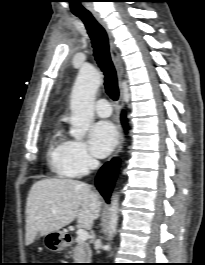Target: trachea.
<instances>
[{
	"instance_id": "3493384b",
	"label": "trachea",
	"mask_w": 205,
	"mask_h": 265,
	"mask_svg": "<svg viewBox=\"0 0 205 265\" xmlns=\"http://www.w3.org/2000/svg\"><path fill=\"white\" fill-rule=\"evenodd\" d=\"M85 24L91 38L94 56L98 66L105 75V90L111 99L116 101L119 96L117 76L109 52L108 36L105 29L97 22L92 14L77 15Z\"/></svg>"
}]
</instances>
